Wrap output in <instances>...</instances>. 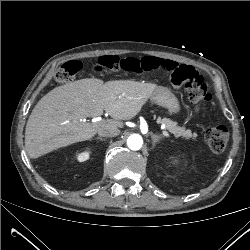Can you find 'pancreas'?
I'll return each instance as SVG.
<instances>
[{
  "label": "pancreas",
  "instance_id": "pancreas-1",
  "mask_svg": "<svg viewBox=\"0 0 250 250\" xmlns=\"http://www.w3.org/2000/svg\"><path fill=\"white\" fill-rule=\"evenodd\" d=\"M158 122L161 124H164L166 126V129L173 133L176 137L182 136L185 139H190L192 138L193 140H196L197 138V133H192L190 129H185L184 126L180 127L177 125L176 122L167 119V118H158Z\"/></svg>",
  "mask_w": 250,
  "mask_h": 250
}]
</instances>
